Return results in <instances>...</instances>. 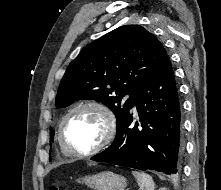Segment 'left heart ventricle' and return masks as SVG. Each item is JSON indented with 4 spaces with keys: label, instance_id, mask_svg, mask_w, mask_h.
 <instances>
[{
    "label": "left heart ventricle",
    "instance_id": "1",
    "mask_svg": "<svg viewBox=\"0 0 221 190\" xmlns=\"http://www.w3.org/2000/svg\"><path fill=\"white\" fill-rule=\"evenodd\" d=\"M104 131L103 115L95 109L85 108L68 118L64 127V139L70 147L84 151L97 145Z\"/></svg>",
    "mask_w": 221,
    "mask_h": 190
}]
</instances>
